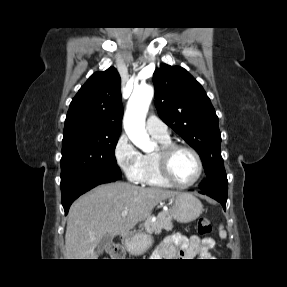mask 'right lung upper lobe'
I'll use <instances>...</instances> for the list:
<instances>
[{"label":"right lung upper lobe","instance_id":"obj_1","mask_svg":"<svg viewBox=\"0 0 287 287\" xmlns=\"http://www.w3.org/2000/svg\"><path fill=\"white\" fill-rule=\"evenodd\" d=\"M120 83L114 67L91 75L70 103L64 131L85 125L100 132H121Z\"/></svg>","mask_w":287,"mask_h":287}]
</instances>
